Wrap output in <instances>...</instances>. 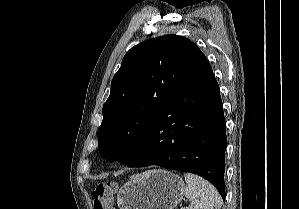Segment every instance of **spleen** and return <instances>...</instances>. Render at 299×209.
Instances as JSON below:
<instances>
[{"label":"spleen","instance_id":"spleen-1","mask_svg":"<svg viewBox=\"0 0 299 209\" xmlns=\"http://www.w3.org/2000/svg\"><path fill=\"white\" fill-rule=\"evenodd\" d=\"M185 196L191 200L190 209H220L222 199L217 189L200 176L185 173Z\"/></svg>","mask_w":299,"mask_h":209}]
</instances>
